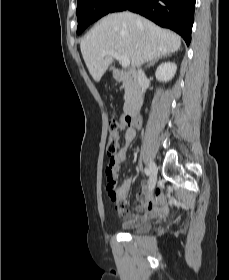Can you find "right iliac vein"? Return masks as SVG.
<instances>
[{
    "label": "right iliac vein",
    "mask_w": 229,
    "mask_h": 280,
    "mask_svg": "<svg viewBox=\"0 0 229 280\" xmlns=\"http://www.w3.org/2000/svg\"><path fill=\"white\" fill-rule=\"evenodd\" d=\"M149 169H150V188L154 189L156 182H157V166L155 165L154 162H150L149 165Z\"/></svg>",
    "instance_id": "obj_1"
}]
</instances>
